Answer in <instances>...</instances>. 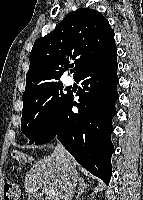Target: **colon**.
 Instances as JSON below:
<instances>
[{"instance_id": "colon-1", "label": "colon", "mask_w": 143, "mask_h": 200, "mask_svg": "<svg viewBox=\"0 0 143 200\" xmlns=\"http://www.w3.org/2000/svg\"><path fill=\"white\" fill-rule=\"evenodd\" d=\"M14 159L19 163L23 164L27 161L28 157L22 153L13 154ZM17 168V167H14ZM20 195V190L17 184L13 182H7L4 188V200H18Z\"/></svg>"}]
</instances>
